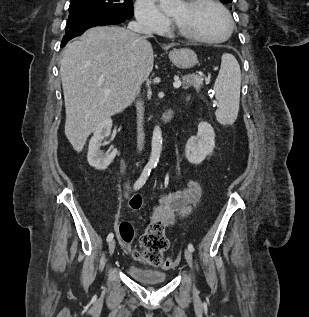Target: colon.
<instances>
[{
  "instance_id": "colon-1",
  "label": "colon",
  "mask_w": 309,
  "mask_h": 317,
  "mask_svg": "<svg viewBox=\"0 0 309 317\" xmlns=\"http://www.w3.org/2000/svg\"><path fill=\"white\" fill-rule=\"evenodd\" d=\"M142 197L133 195L129 199V206L132 210H139L142 207ZM117 235L126 247H130L135 231L131 223L122 221L117 226ZM169 241L165 235L163 224L154 221L150 223L140 238V250L135 251V257L151 266L171 267L173 259H165L163 254L168 249Z\"/></svg>"
}]
</instances>
